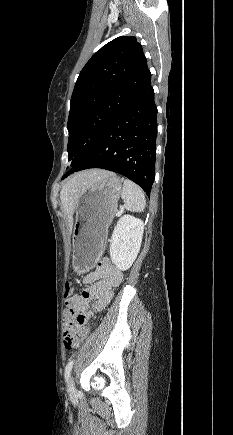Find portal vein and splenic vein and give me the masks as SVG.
<instances>
[{
    "mask_svg": "<svg viewBox=\"0 0 233 435\" xmlns=\"http://www.w3.org/2000/svg\"><path fill=\"white\" fill-rule=\"evenodd\" d=\"M120 215H121V212H118V213H117V216H120Z\"/></svg>",
    "mask_w": 233,
    "mask_h": 435,
    "instance_id": "portal-vein-and-splenic-vein-1",
    "label": "portal vein and splenic vein"
}]
</instances>
